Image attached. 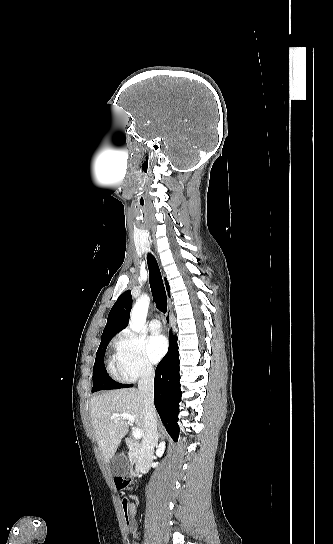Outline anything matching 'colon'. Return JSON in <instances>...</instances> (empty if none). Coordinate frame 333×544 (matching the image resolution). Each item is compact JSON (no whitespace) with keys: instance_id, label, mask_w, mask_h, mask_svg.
<instances>
[{"instance_id":"1","label":"colon","mask_w":333,"mask_h":544,"mask_svg":"<svg viewBox=\"0 0 333 544\" xmlns=\"http://www.w3.org/2000/svg\"><path fill=\"white\" fill-rule=\"evenodd\" d=\"M115 484L117 488L121 491H129L133 489V479L129 476H122L115 478ZM122 500L127 501V498L124 496ZM136 544V543H135Z\"/></svg>"}]
</instances>
